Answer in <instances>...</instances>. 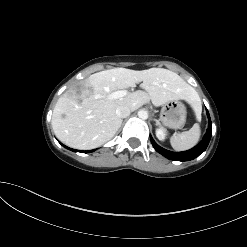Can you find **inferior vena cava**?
Instances as JSON below:
<instances>
[{
	"label": "inferior vena cava",
	"mask_w": 247,
	"mask_h": 247,
	"mask_svg": "<svg viewBox=\"0 0 247 247\" xmlns=\"http://www.w3.org/2000/svg\"><path fill=\"white\" fill-rule=\"evenodd\" d=\"M131 109L126 106V105H122L117 107L116 109V115L120 118H126L130 115Z\"/></svg>",
	"instance_id": "1"
}]
</instances>
